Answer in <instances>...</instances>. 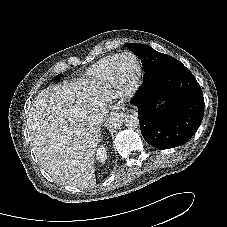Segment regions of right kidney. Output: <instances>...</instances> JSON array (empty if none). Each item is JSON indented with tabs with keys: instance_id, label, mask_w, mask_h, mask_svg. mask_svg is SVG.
Masks as SVG:
<instances>
[{
	"instance_id": "ca27d5eb",
	"label": "right kidney",
	"mask_w": 227,
	"mask_h": 227,
	"mask_svg": "<svg viewBox=\"0 0 227 227\" xmlns=\"http://www.w3.org/2000/svg\"><path fill=\"white\" fill-rule=\"evenodd\" d=\"M96 159L104 164L107 159L106 148L104 145H100V147L96 151Z\"/></svg>"
}]
</instances>
